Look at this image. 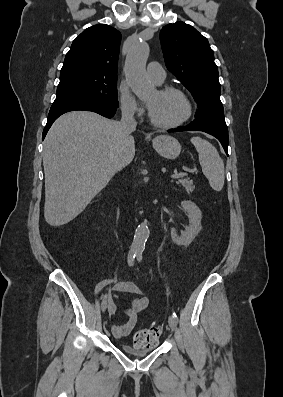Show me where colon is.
<instances>
[{"label":"colon","instance_id":"1","mask_svg":"<svg viewBox=\"0 0 283 397\" xmlns=\"http://www.w3.org/2000/svg\"><path fill=\"white\" fill-rule=\"evenodd\" d=\"M160 329L158 327H150L141 329L134 335V345L138 348H147L156 343Z\"/></svg>","mask_w":283,"mask_h":397}]
</instances>
